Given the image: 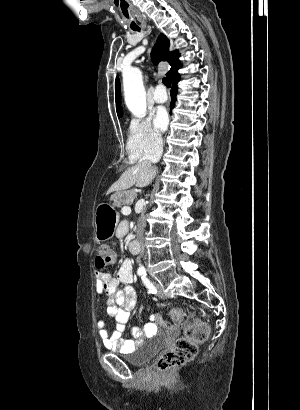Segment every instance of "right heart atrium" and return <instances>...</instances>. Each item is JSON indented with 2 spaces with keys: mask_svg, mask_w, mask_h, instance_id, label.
I'll return each instance as SVG.
<instances>
[{
  "mask_svg": "<svg viewBox=\"0 0 300 410\" xmlns=\"http://www.w3.org/2000/svg\"><path fill=\"white\" fill-rule=\"evenodd\" d=\"M162 135L150 119L134 118L128 127L126 150L130 160L153 154L161 148Z\"/></svg>",
  "mask_w": 300,
  "mask_h": 410,
  "instance_id": "right-heart-atrium-1",
  "label": "right heart atrium"
}]
</instances>
